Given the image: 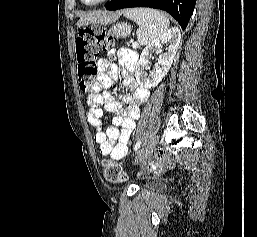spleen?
I'll return each mask as SVG.
<instances>
[{"instance_id":"3e777b00","label":"spleen","mask_w":257,"mask_h":237,"mask_svg":"<svg viewBox=\"0 0 257 237\" xmlns=\"http://www.w3.org/2000/svg\"><path fill=\"white\" fill-rule=\"evenodd\" d=\"M124 16L138 26L137 38L141 45H148L167 32L169 20L159 11L148 8L126 9Z\"/></svg>"}]
</instances>
